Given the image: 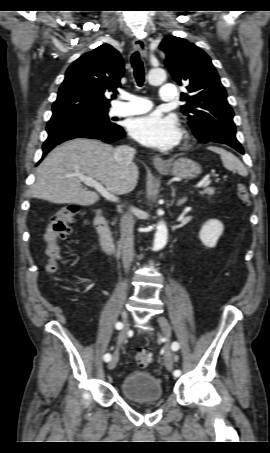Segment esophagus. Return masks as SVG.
<instances>
[{"label": "esophagus", "mask_w": 270, "mask_h": 453, "mask_svg": "<svg viewBox=\"0 0 270 453\" xmlns=\"http://www.w3.org/2000/svg\"><path fill=\"white\" fill-rule=\"evenodd\" d=\"M133 47L136 50H139L142 54H145L147 51L146 43L142 39L133 40ZM153 164L156 168H164L168 166V163L159 156L153 157Z\"/></svg>", "instance_id": "34e87169"}]
</instances>
